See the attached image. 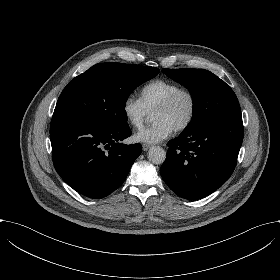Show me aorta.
Wrapping results in <instances>:
<instances>
[{
    "label": "aorta",
    "mask_w": 280,
    "mask_h": 280,
    "mask_svg": "<svg viewBox=\"0 0 280 280\" xmlns=\"http://www.w3.org/2000/svg\"><path fill=\"white\" fill-rule=\"evenodd\" d=\"M166 152L160 146H153L148 152V159L153 164H162L165 161Z\"/></svg>",
    "instance_id": "1"
}]
</instances>
